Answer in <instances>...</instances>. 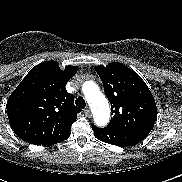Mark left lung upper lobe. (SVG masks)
I'll list each match as a JSON object with an SVG mask.
<instances>
[{"label":"left lung upper lobe","mask_w":182,"mask_h":182,"mask_svg":"<svg viewBox=\"0 0 182 182\" xmlns=\"http://www.w3.org/2000/svg\"><path fill=\"white\" fill-rule=\"evenodd\" d=\"M95 71L111 104L113 118L107 128L147 137L155 124L157 108L142 78L117 62L95 66Z\"/></svg>","instance_id":"obj_1"}]
</instances>
